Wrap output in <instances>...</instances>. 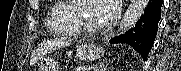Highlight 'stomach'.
<instances>
[{"mask_svg": "<svg viewBox=\"0 0 181 71\" xmlns=\"http://www.w3.org/2000/svg\"><path fill=\"white\" fill-rule=\"evenodd\" d=\"M104 50L102 48H97L93 45H81L77 49V57L84 61H94L101 57ZM39 71H56V66L51 62L44 61L39 66Z\"/></svg>", "mask_w": 181, "mask_h": 71, "instance_id": "obj_1", "label": "stomach"}]
</instances>
